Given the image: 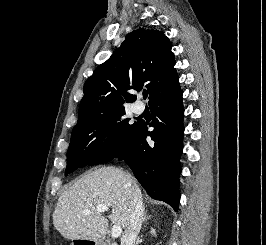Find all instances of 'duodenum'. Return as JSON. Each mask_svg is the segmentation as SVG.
<instances>
[{
	"label": "duodenum",
	"instance_id": "obj_1",
	"mask_svg": "<svg viewBox=\"0 0 266 245\" xmlns=\"http://www.w3.org/2000/svg\"><path fill=\"white\" fill-rule=\"evenodd\" d=\"M75 245H105L104 237H74Z\"/></svg>",
	"mask_w": 266,
	"mask_h": 245
}]
</instances>
